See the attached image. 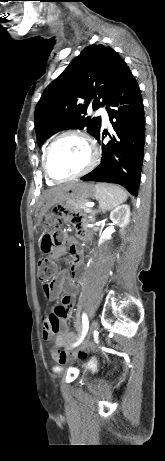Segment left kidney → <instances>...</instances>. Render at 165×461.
Listing matches in <instances>:
<instances>
[{"label": "left kidney", "instance_id": "obj_1", "mask_svg": "<svg viewBox=\"0 0 165 461\" xmlns=\"http://www.w3.org/2000/svg\"><path fill=\"white\" fill-rule=\"evenodd\" d=\"M110 220L121 228L122 234L130 222V207L127 204L118 206L110 213Z\"/></svg>", "mask_w": 165, "mask_h": 461}]
</instances>
